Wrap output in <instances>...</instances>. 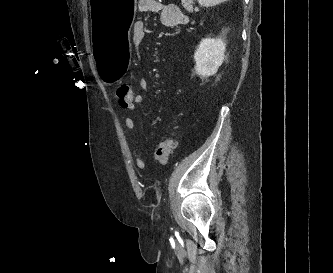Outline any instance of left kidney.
Masks as SVG:
<instances>
[{
	"instance_id": "5707ae66",
	"label": "left kidney",
	"mask_w": 333,
	"mask_h": 273,
	"mask_svg": "<svg viewBox=\"0 0 333 273\" xmlns=\"http://www.w3.org/2000/svg\"><path fill=\"white\" fill-rule=\"evenodd\" d=\"M225 48L221 38L202 39L194 54L196 74L202 78L214 75L224 61Z\"/></svg>"
}]
</instances>
